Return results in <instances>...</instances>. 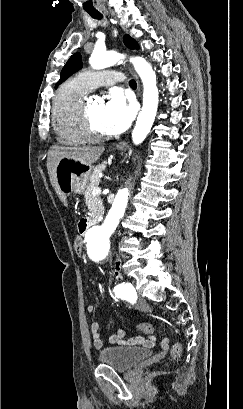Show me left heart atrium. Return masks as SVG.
Listing matches in <instances>:
<instances>
[{
	"label": "left heart atrium",
	"instance_id": "1",
	"mask_svg": "<svg viewBox=\"0 0 243 409\" xmlns=\"http://www.w3.org/2000/svg\"><path fill=\"white\" fill-rule=\"evenodd\" d=\"M133 114V107L121 95L113 94L102 111L103 133L116 135L123 132L129 127Z\"/></svg>",
	"mask_w": 243,
	"mask_h": 409
}]
</instances>
